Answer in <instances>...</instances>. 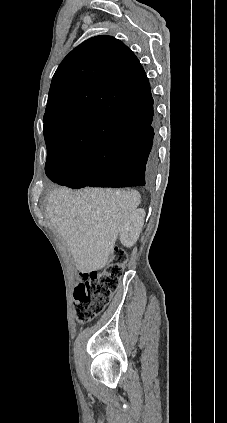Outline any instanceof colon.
I'll return each mask as SVG.
<instances>
[{"instance_id": "obj_1", "label": "colon", "mask_w": 227, "mask_h": 423, "mask_svg": "<svg viewBox=\"0 0 227 423\" xmlns=\"http://www.w3.org/2000/svg\"><path fill=\"white\" fill-rule=\"evenodd\" d=\"M126 260V253L116 249L104 270L80 275L74 292L79 322H89L104 310L119 286Z\"/></svg>"}]
</instances>
